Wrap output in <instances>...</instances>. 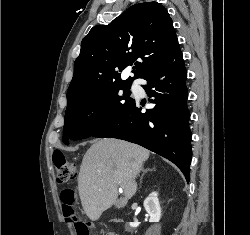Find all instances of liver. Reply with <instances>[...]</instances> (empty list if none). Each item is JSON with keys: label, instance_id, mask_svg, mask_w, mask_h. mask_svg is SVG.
Segmentation results:
<instances>
[{"label": "liver", "instance_id": "liver-1", "mask_svg": "<svg viewBox=\"0 0 250 235\" xmlns=\"http://www.w3.org/2000/svg\"><path fill=\"white\" fill-rule=\"evenodd\" d=\"M149 158V151L141 146L104 138L86 152L80 166L78 191L83 209L90 220L97 221L112 205L121 206L137 191L136 177ZM118 186L125 194L118 201Z\"/></svg>", "mask_w": 250, "mask_h": 235}]
</instances>
